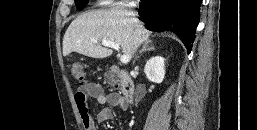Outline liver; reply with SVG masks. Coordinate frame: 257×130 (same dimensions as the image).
Returning <instances> with one entry per match:
<instances>
[{
  "label": "liver",
  "instance_id": "1",
  "mask_svg": "<svg viewBox=\"0 0 257 130\" xmlns=\"http://www.w3.org/2000/svg\"><path fill=\"white\" fill-rule=\"evenodd\" d=\"M134 14L119 10H95L81 14L69 25L63 38V55L71 52L92 57L106 58L112 50L101 46L102 40L113 41L130 58L134 53V41L150 42L151 32Z\"/></svg>",
  "mask_w": 257,
  "mask_h": 130
}]
</instances>
